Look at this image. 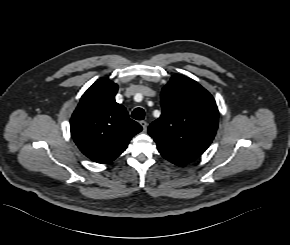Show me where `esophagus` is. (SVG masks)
<instances>
[{
	"label": "esophagus",
	"instance_id": "esophagus-1",
	"mask_svg": "<svg viewBox=\"0 0 290 245\" xmlns=\"http://www.w3.org/2000/svg\"><path fill=\"white\" fill-rule=\"evenodd\" d=\"M140 125L142 126L143 131L146 132L147 131V126H148L147 122L146 121H140Z\"/></svg>",
	"mask_w": 290,
	"mask_h": 245
}]
</instances>
